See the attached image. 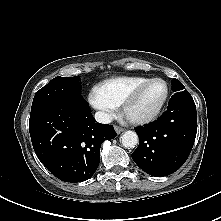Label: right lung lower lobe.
I'll use <instances>...</instances> for the list:
<instances>
[{
	"label": "right lung lower lobe",
	"mask_w": 221,
	"mask_h": 221,
	"mask_svg": "<svg viewBox=\"0 0 221 221\" xmlns=\"http://www.w3.org/2000/svg\"><path fill=\"white\" fill-rule=\"evenodd\" d=\"M29 132L34 151L58 179H89L100 162V147L116 137L113 126L96 123L82 96L57 98L31 108Z\"/></svg>",
	"instance_id": "obj_1"
}]
</instances>
